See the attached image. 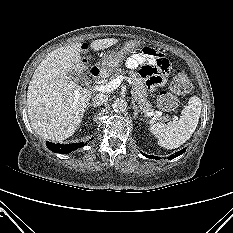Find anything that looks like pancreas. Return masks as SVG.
<instances>
[{
  "mask_svg": "<svg viewBox=\"0 0 233 233\" xmlns=\"http://www.w3.org/2000/svg\"><path fill=\"white\" fill-rule=\"evenodd\" d=\"M128 72L130 80L132 84V93L135 98V101L138 103L140 109H143L145 112L152 111L151 104L147 100V92L144 85L143 78H141L137 73L133 71H124L122 69H117L116 72L111 76V80L115 79L121 74ZM162 119H166L165 117H161Z\"/></svg>",
  "mask_w": 233,
  "mask_h": 233,
  "instance_id": "obj_1",
  "label": "pancreas"
}]
</instances>
